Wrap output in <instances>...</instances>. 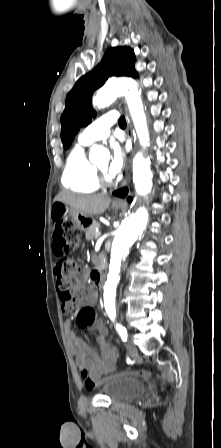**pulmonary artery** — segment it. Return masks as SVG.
Returning <instances> with one entry per match:
<instances>
[{
	"instance_id": "pulmonary-artery-1",
	"label": "pulmonary artery",
	"mask_w": 221,
	"mask_h": 448,
	"mask_svg": "<svg viewBox=\"0 0 221 448\" xmlns=\"http://www.w3.org/2000/svg\"><path fill=\"white\" fill-rule=\"evenodd\" d=\"M117 119L118 113L116 110H111L100 116L80 133L78 138L79 143L89 145L97 140L108 137L111 125H113Z\"/></svg>"
}]
</instances>
